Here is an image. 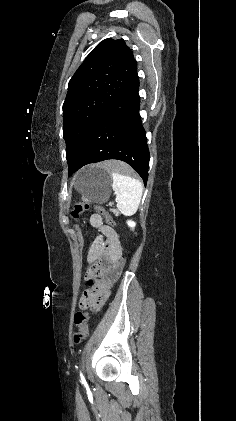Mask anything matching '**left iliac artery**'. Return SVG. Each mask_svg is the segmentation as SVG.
I'll return each mask as SVG.
<instances>
[{
	"label": "left iliac artery",
	"instance_id": "left-iliac-artery-1",
	"mask_svg": "<svg viewBox=\"0 0 236 421\" xmlns=\"http://www.w3.org/2000/svg\"><path fill=\"white\" fill-rule=\"evenodd\" d=\"M80 376H81V379H83L84 377H83V375H82V373H80Z\"/></svg>",
	"mask_w": 236,
	"mask_h": 421
}]
</instances>
